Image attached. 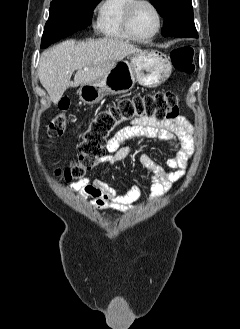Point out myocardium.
<instances>
[{
  "label": "myocardium",
  "instance_id": "f54148a6",
  "mask_svg": "<svg viewBox=\"0 0 240 329\" xmlns=\"http://www.w3.org/2000/svg\"><path fill=\"white\" fill-rule=\"evenodd\" d=\"M139 5H147L149 6L156 17V28L153 31V33L147 37H139L137 36L131 27V19L134 13V10L137 6ZM162 14L159 10V8L151 1V0H132L131 3L128 5L125 14H124V20H123V25H124V30L125 33L134 41H138V42H147V41H151L153 40L158 33L160 32L161 28H162Z\"/></svg>",
  "mask_w": 240,
  "mask_h": 329
}]
</instances>
